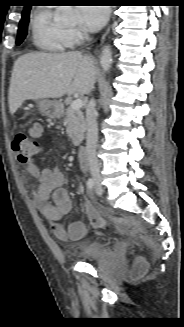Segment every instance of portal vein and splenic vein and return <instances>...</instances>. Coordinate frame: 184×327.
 I'll return each mask as SVG.
<instances>
[{"mask_svg":"<svg viewBox=\"0 0 184 327\" xmlns=\"http://www.w3.org/2000/svg\"><path fill=\"white\" fill-rule=\"evenodd\" d=\"M83 106V101L81 99H76L74 100L70 107L73 109V110H80Z\"/></svg>","mask_w":184,"mask_h":327,"instance_id":"1","label":"portal vein and splenic vein"}]
</instances>
